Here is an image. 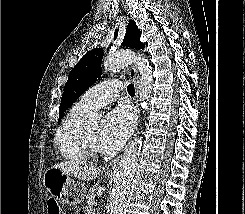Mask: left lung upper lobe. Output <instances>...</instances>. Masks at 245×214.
Wrapping results in <instances>:
<instances>
[{
    "label": "left lung upper lobe",
    "mask_w": 245,
    "mask_h": 214,
    "mask_svg": "<svg viewBox=\"0 0 245 214\" xmlns=\"http://www.w3.org/2000/svg\"><path fill=\"white\" fill-rule=\"evenodd\" d=\"M117 34L118 31L116 30L114 34L115 38ZM140 36L141 32L137 29L136 23L133 20L129 21L122 46L143 49L144 44L140 41ZM102 59L103 49H93L87 52L70 71L61 98L59 120L62 118L66 109L101 77Z\"/></svg>",
    "instance_id": "1"
}]
</instances>
